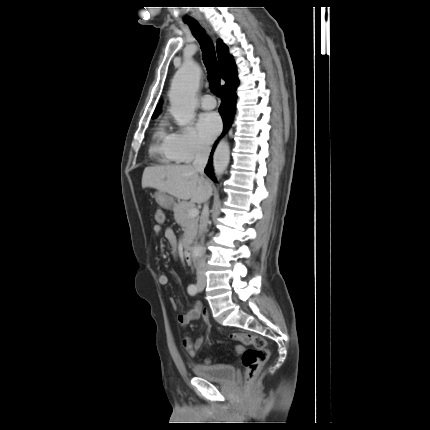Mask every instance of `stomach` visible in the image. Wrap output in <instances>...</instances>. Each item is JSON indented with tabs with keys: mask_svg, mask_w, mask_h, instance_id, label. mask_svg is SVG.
<instances>
[{
	"mask_svg": "<svg viewBox=\"0 0 430 430\" xmlns=\"http://www.w3.org/2000/svg\"><path fill=\"white\" fill-rule=\"evenodd\" d=\"M155 199L161 207L166 209L171 208L173 203L172 198L161 191L155 193Z\"/></svg>",
	"mask_w": 430,
	"mask_h": 430,
	"instance_id": "stomach-1",
	"label": "stomach"
}]
</instances>
